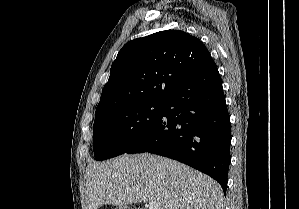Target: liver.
<instances>
[{
    "instance_id": "liver-1",
    "label": "liver",
    "mask_w": 299,
    "mask_h": 209,
    "mask_svg": "<svg viewBox=\"0 0 299 209\" xmlns=\"http://www.w3.org/2000/svg\"><path fill=\"white\" fill-rule=\"evenodd\" d=\"M88 209L155 202L158 209H223V192L209 176L149 153L124 155L86 168Z\"/></svg>"
}]
</instances>
